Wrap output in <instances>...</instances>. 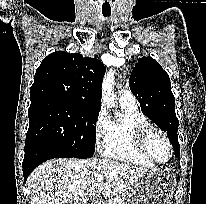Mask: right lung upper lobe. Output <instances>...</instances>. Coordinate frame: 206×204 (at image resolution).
<instances>
[{"instance_id":"cb5924a9","label":"right lung upper lobe","mask_w":206,"mask_h":204,"mask_svg":"<svg viewBox=\"0 0 206 204\" xmlns=\"http://www.w3.org/2000/svg\"><path fill=\"white\" fill-rule=\"evenodd\" d=\"M106 69L97 59L56 51L36 70L30 99L60 101L101 108V85Z\"/></svg>"}]
</instances>
